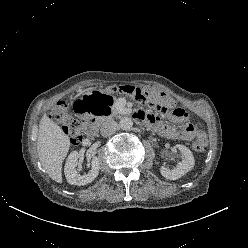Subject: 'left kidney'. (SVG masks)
<instances>
[{
    "instance_id": "1",
    "label": "left kidney",
    "mask_w": 248,
    "mask_h": 248,
    "mask_svg": "<svg viewBox=\"0 0 248 248\" xmlns=\"http://www.w3.org/2000/svg\"><path fill=\"white\" fill-rule=\"evenodd\" d=\"M176 148L181 152L182 161L173 169H168L164 166L161 167L160 173L166 179L176 180L181 178L184 174L191 171L195 164L193 154L188 147L177 144Z\"/></svg>"
}]
</instances>
